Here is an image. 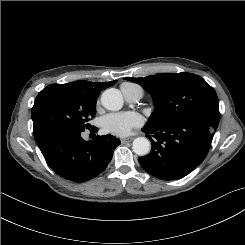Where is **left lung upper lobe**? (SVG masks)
Listing matches in <instances>:
<instances>
[{"label": "left lung upper lobe", "mask_w": 245, "mask_h": 245, "mask_svg": "<svg viewBox=\"0 0 245 245\" xmlns=\"http://www.w3.org/2000/svg\"><path fill=\"white\" fill-rule=\"evenodd\" d=\"M151 94L156 107L147 124L161 127L192 117L219 123V103L215 90L192 73H159L145 78H125Z\"/></svg>", "instance_id": "obj_1"}]
</instances>
